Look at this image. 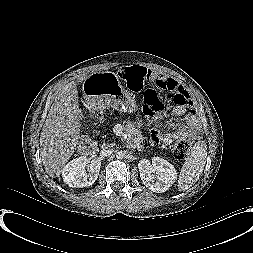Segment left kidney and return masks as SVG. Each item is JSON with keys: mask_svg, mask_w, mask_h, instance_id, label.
<instances>
[{"mask_svg": "<svg viewBox=\"0 0 253 253\" xmlns=\"http://www.w3.org/2000/svg\"><path fill=\"white\" fill-rule=\"evenodd\" d=\"M138 169L143 184L156 193L168 190L177 178L173 165L160 157H153L152 162L147 159L140 160Z\"/></svg>", "mask_w": 253, "mask_h": 253, "instance_id": "5707ae66", "label": "left kidney"}]
</instances>
